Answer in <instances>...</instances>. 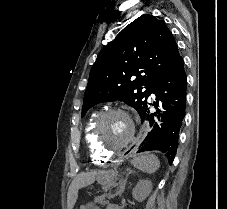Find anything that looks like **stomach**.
Instances as JSON below:
<instances>
[{
	"label": "stomach",
	"mask_w": 227,
	"mask_h": 209,
	"mask_svg": "<svg viewBox=\"0 0 227 209\" xmlns=\"http://www.w3.org/2000/svg\"><path fill=\"white\" fill-rule=\"evenodd\" d=\"M114 178V175L111 172H102L97 176L99 183L103 185L109 184Z\"/></svg>",
	"instance_id": "0dacf381"
}]
</instances>
